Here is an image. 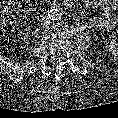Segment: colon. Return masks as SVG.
<instances>
[{
    "mask_svg": "<svg viewBox=\"0 0 118 118\" xmlns=\"http://www.w3.org/2000/svg\"><path fill=\"white\" fill-rule=\"evenodd\" d=\"M31 9V0H5L1 17L7 19L11 15L24 16Z\"/></svg>",
    "mask_w": 118,
    "mask_h": 118,
    "instance_id": "1",
    "label": "colon"
}]
</instances>
